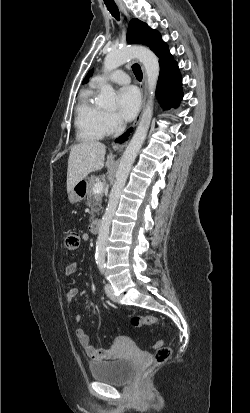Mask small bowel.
Wrapping results in <instances>:
<instances>
[{
    "mask_svg": "<svg viewBox=\"0 0 250 413\" xmlns=\"http://www.w3.org/2000/svg\"><path fill=\"white\" fill-rule=\"evenodd\" d=\"M83 238L86 239L87 236L85 235ZM76 271H77V264L75 262H69L66 265L65 269H64V274L66 276H71ZM77 294H78V290L76 288L69 289L66 293V298H67L68 302L72 303L74 301L75 297L77 296ZM82 319H83L82 314H77L75 316V320L77 322L82 321ZM76 336L79 340V343L81 344V346L86 351L87 355L94 361H102V360H109V359L115 358L117 356V353H118L119 345L123 341V339L121 337H117L111 348L97 349L91 344L90 337L85 332L84 329L78 328L76 330Z\"/></svg>",
    "mask_w": 250,
    "mask_h": 413,
    "instance_id": "obj_1",
    "label": "small bowel"
}]
</instances>
